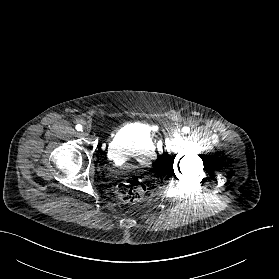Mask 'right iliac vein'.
<instances>
[{
	"instance_id": "1",
	"label": "right iliac vein",
	"mask_w": 279,
	"mask_h": 279,
	"mask_svg": "<svg viewBox=\"0 0 279 279\" xmlns=\"http://www.w3.org/2000/svg\"><path fill=\"white\" fill-rule=\"evenodd\" d=\"M91 131V127L89 125L84 127L83 134L88 135Z\"/></svg>"
}]
</instances>
